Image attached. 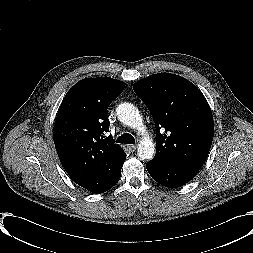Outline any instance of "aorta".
Listing matches in <instances>:
<instances>
[{"instance_id": "obj_1", "label": "aorta", "mask_w": 253, "mask_h": 253, "mask_svg": "<svg viewBox=\"0 0 253 253\" xmlns=\"http://www.w3.org/2000/svg\"><path fill=\"white\" fill-rule=\"evenodd\" d=\"M118 119L125 125L142 130L143 122L138 109L131 103H121L116 109ZM155 154V145L148 139L144 138L138 145V156L142 160H151Z\"/></svg>"}]
</instances>
